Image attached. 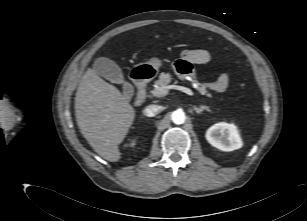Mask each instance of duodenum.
Here are the masks:
<instances>
[{"instance_id": "duodenum-1", "label": "duodenum", "mask_w": 307, "mask_h": 221, "mask_svg": "<svg viewBox=\"0 0 307 221\" xmlns=\"http://www.w3.org/2000/svg\"><path fill=\"white\" fill-rule=\"evenodd\" d=\"M151 67L148 66L146 69L139 68L132 74V80L136 86V96L134 103L137 107L144 104L147 93V81L151 77Z\"/></svg>"}]
</instances>
